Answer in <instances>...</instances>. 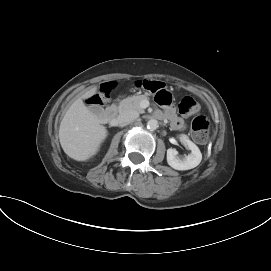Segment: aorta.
<instances>
[{"label":"aorta","mask_w":271,"mask_h":271,"mask_svg":"<svg viewBox=\"0 0 271 271\" xmlns=\"http://www.w3.org/2000/svg\"><path fill=\"white\" fill-rule=\"evenodd\" d=\"M147 128L150 130H156L158 128V121L151 119L147 122Z\"/></svg>","instance_id":"1"}]
</instances>
